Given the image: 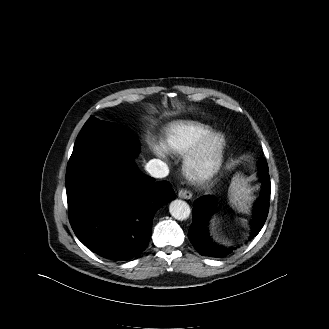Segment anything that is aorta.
I'll return each instance as SVG.
<instances>
[{
    "instance_id": "762f6f07",
    "label": "aorta",
    "mask_w": 329,
    "mask_h": 329,
    "mask_svg": "<svg viewBox=\"0 0 329 329\" xmlns=\"http://www.w3.org/2000/svg\"><path fill=\"white\" fill-rule=\"evenodd\" d=\"M169 212L172 217L182 221L190 216L191 209L187 202L176 199L170 203Z\"/></svg>"
}]
</instances>
